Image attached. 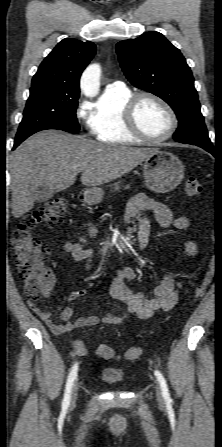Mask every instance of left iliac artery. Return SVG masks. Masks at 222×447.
Segmentation results:
<instances>
[{"label":"left iliac artery","instance_id":"obj_1","mask_svg":"<svg viewBox=\"0 0 222 447\" xmlns=\"http://www.w3.org/2000/svg\"><path fill=\"white\" fill-rule=\"evenodd\" d=\"M155 375H156V377H157V379L159 381L160 388H161L162 395H163L164 399L167 400V401H171L170 394H169V391H168V386H167L165 378L157 370L155 371Z\"/></svg>","mask_w":222,"mask_h":447}]
</instances>
